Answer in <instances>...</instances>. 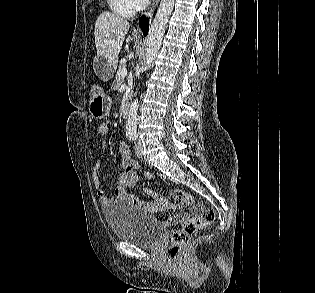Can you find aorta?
Wrapping results in <instances>:
<instances>
[{"label":"aorta","instance_id":"762f6f07","mask_svg":"<svg viewBox=\"0 0 315 293\" xmlns=\"http://www.w3.org/2000/svg\"><path fill=\"white\" fill-rule=\"evenodd\" d=\"M174 3L175 0H161L160 2L147 37L146 61L144 66L145 71L151 68L153 60L160 49L167 22L173 11ZM138 106V100L135 99L128 114L126 123L127 132H133L136 130Z\"/></svg>","mask_w":315,"mask_h":293}]
</instances>
